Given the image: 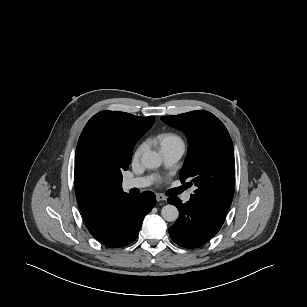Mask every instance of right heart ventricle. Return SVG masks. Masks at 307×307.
I'll return each mask as SVG.
<instances>
[{
    "label": "right heart ventricle",
    "instance_id": "obj_1",
    "mask_svg": "<svg viewBox=\"0 0 307 307\" xmlns=\"http://www.w3.org/2000/svg\"><path fill=\"white\" fill-rule=\"evenodd\" d=\"M158 140L160 142L161 148L171 144L182 143L180 137L173 133L161 134L159 135Z\"/></svg>",
    "mask_w": 307,
    "mask_h": 307
}]
</instances>
